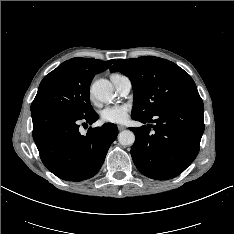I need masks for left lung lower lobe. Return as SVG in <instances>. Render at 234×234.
I'll use <instances>...</instances> for the list:
<instances>
[{
    "label": "left lung lower lobe",
    "instance_id": "left-lung-lower-lobe-1",
    "mask_svg": "<svg viewBox=\"0 0 234 234\" xmlns=\"http://www.w3.org/2000/svg\"><path fill=\"white\" fill-rule=\"evenodd\" d=\"M203 113L202 99L195 97L151 117L134 119L144 124L155 123L131 128L135 134L131 155L137 169L156 180H168L181 174L199 152L204 132Z\"/></svg>",
    "mask_w": 234,
    "mask_h": 234
}]
</instances>
